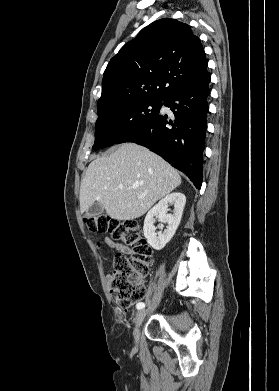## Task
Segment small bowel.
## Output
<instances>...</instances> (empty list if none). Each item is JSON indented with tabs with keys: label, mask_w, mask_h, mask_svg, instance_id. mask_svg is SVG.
<instances>
[{
	"label": "small bowel",
	"mask_w": 279,
	"mask_h": 391,
	"mask_svg": "<svg viewBox=\"0 0 279 391\" xmlns=\"http://www.w3.org/2000/svg\"><path fill=\"white\" fill-rule=\"evenodd\" d=\"M105 242H106V244L109 246V247H111V248H113V249H115V250H117L119 253H121V254H129V253H131V249L128 247V246H125V245H123V244H121V243H118V242H115L114 240H112L111 238H106L105 239Z\"/></svg>",
	"instance_id": "c3829d8e"
}]
</instances>
